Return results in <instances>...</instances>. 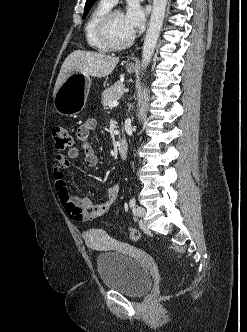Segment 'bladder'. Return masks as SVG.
Returning a JSON list of instances; mask_svg holds the SVG:
<instances>
[{
	"mask_svg": "<svg viewBox=\"0 0 247 332\" xmlns=\"http://www.w3.org/2000/svg\"><path fill=\"white\" fill-rule=\"evenodd\" d=\"M85 240L91 245L90 236H86ZM123 248L118 246L97 256L100 280L107 289L129 297H140L151 288L153 282L151 258L142 251Z\"/></svg>",
	"mask_w": 247,
	"mask_h": 332,
	"instance_id": "1",
	"label": "bladder"
}]
</instances>
